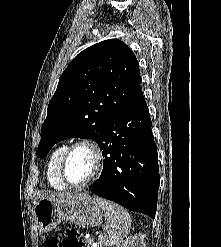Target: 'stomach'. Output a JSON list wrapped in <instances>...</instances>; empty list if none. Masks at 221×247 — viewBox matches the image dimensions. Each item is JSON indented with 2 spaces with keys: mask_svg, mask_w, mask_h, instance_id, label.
<instances>
[{
  "mask_svg": "<svg viewBox=\"0 0 221 247\" xmlns=\"http://www.w3.org/2000/svg\"><path fill=\"white\" fill-rule=\"evenodd\" d=\"M105 202L87 193L57 199L41 198L34 207L36 223L42 232H48L62 222L92 228L101 222Z\"/></svg>",
  "mask_w": 221,
  "mask_h": 247,
  "instance_id": "0dacf381",
  "label": "stomach"
}]
</instances>
